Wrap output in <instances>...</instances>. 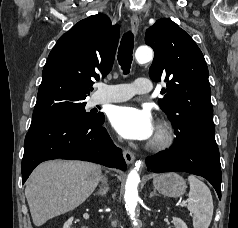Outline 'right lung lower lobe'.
I'll use <instances>...</instances> for the list:
<instances>
[{
  "mask_svg": "<svg viewBox=\"0 0 238 228\" xmlns=\"http://www.w3.org/2000/svg\"><path fill=\"white\" fill-rule=\"evenodd\" d=\"M104 115L85 122L66 117L33 118L25 137L22 159V183L41 162L62 158L99 163L126 169L121 149L109 137Z\"/></svg>",
  "mask_w": 238,
  "mask_h": 228,
  "instance_id": "98d812e1",
  "label": "right lung lower lobe"
}]
</instances>
